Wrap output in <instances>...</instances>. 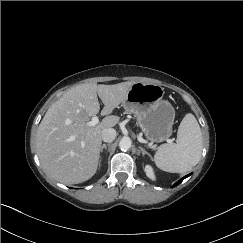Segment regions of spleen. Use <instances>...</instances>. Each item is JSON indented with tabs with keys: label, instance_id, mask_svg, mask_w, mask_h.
I'll return each mask as SVG.
<instances>
[{
	"label": "spleen",
	"instance_id": "1",
	"mask_svg": "<svg viewBox=\"0 0 243 243\" xmlns=\"http://www.w3.org/2000/svg\"><path fill=\"white\" fill-rule=\"evenodd\" d=\"M202 133L191 113L185 115L177 133V143L162 144L158 147L154 161L156 166L166 172L187 173L201 158Z\"/></svg>",
	"mask_w": 243,
	"mask_h": 243
}]
</instances>
